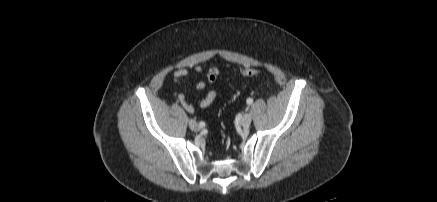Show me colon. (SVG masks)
Wrapping results in <instances>:
<instances>
[{
  "mask_svg": "<svg viewBox=\"0 0 437 202\" xmlns=\"http://www.w3.org/2000/svg\"><path fill=\"white\" fill-rule=\"evenodd\" d=\"M260 71L255 68H246L241 70L240 75L243 77H255L258 76Z\"/></svg>",
  "mask_w": 437,
  "mask_h": 202,
  "instance_id": "obj_1",
  "label": "colon"
}]
</instances>
